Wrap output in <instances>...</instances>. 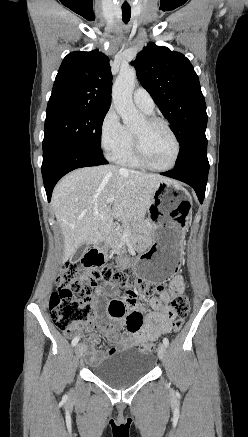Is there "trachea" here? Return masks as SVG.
<instances>
[{
	"instance_id": "trachea-1",
	"label": "trachea",
	"mask_w": 248,
	"mask_h": 437,
	"mask_svg": "<svg viewBox=\"0 0 248 437\" xmlns=\"http://www.w3.org/2000/svg\"><path fill=\"white\" fill-rule=\"evenodd\" d=\"M131 17V9L130 8H122V18L125 23H128Z\"/></svg>"
}]
</instances>
